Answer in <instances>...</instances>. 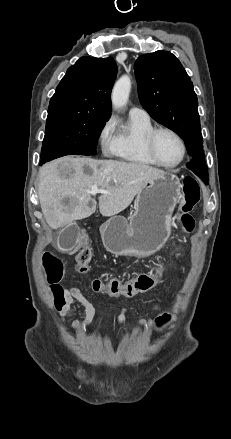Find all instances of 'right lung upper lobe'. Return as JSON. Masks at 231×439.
<instances>
[{"mask_svg":"<svg viewBox=\"0 0 231 439\" xmlns=\"http://www.w3.org/2000/svg\"><path fill=\"white\" fill-rule=\"evenodd\" d=\"M117 74L112 57H82L71 66L50 100L48 117L63 114L111 116L110 93Z\"/></svg>","mask_w":231,"mask_h":439,"instance_id":"obj_1","label":"right lung upper lobe"}]
</instances>
